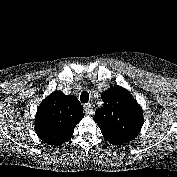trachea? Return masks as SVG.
<instances>
[{"label":"trachea","mask_w":177,"mask_h":177,"mask_svg":"<svg viewBox=\"0 0 177 177\" xmlns=\"http://www.w3.org/2000/svg\"><path fill=\"white\" fill-rule=\"evenodd\" d=\"M81 103H87L89 101V94L86 91H83L80 95Z\"/></svg>","instance_id":"3493384b"}]
</instances>
